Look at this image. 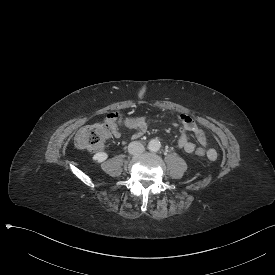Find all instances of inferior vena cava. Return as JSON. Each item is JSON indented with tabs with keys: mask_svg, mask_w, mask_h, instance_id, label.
I'll use <instances>...</instances> for the list:
<instances>
[{
	"mask_svg": "<svg viewBox=\"0 0 275 275\" xmlns=\"http://www.w3.org/2000/svg\"><path fill=\"white\" fill-rule=\"evenodd\" d=\"M144 151V146L139 141L130 142L128 152L132 155H139Z\"/></svg>",
	"mask_w": 275,
	"mask_h": 275,
	"instance_id": "obj_1",
	"label": "inferior vena cava"
}]
</instances>
